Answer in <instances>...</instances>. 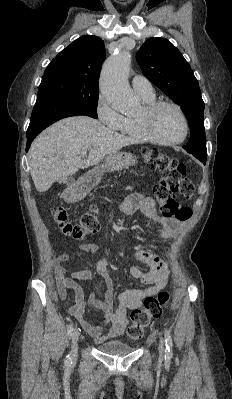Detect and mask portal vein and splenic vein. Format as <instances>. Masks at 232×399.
I'll list each match as a JSON object with an SVG mask.
<instances>
[{
    "instance_id": "1",
    "label": "portal vein and splenic vein",
    "mask_w": 232,
    "mask_h": 399,
    "mask_svg": "<svg viewBox=\"0 0 232 399\" xmlns=\"http://www.w3.org/2000/svg\"><path fill=\"white\" fill-rule=\"evenodd\" d=\"M86 154H87V150H84V152H81L82 158H83V156H86Z\"/></svg>"
}]
</instances>
